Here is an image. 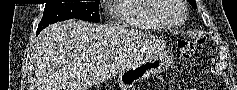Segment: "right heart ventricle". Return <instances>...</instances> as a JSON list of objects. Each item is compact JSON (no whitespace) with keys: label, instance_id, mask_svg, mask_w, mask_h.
Returning a JSON list of instances; mask_svg holds the SVG:
<instances>
[{"label":"right heart ventricle","instance_id":"right-heart-ventricle-1","mask_svg":"<svg viewBox=\"0 0 237 90\" xmlns=\"http://www.w3.org/2000/svg\"><path fill=\"white\" fill-rule=\"evenodd\" d=\"M116 6H110V15L113 20L109 24H114V28H137V29H163L155 22L157 14H150V10L155 7H162L164 2L155 0H118Z\"/></svg>","mask_w":237,"mask_h":90}]
</instances>
